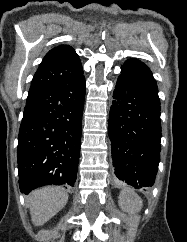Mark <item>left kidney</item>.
I'll return each instance as SVG.
<instances>
[{
    "mask_svg": "<svg viewBox=\"0 0 187 242\" xmlns=\"http://www.w3.org/2000/svg\"><path fill=\"white\" fill-rule=\"evenodd\" d=\"M118 203L121 209L129 213L139 211L142 207L141 198L136 193L129 190H122L120 192Z\"/></svg>",
    "mask_w": 187,
    "mask_h": 242,
    "instance_id": "5707ae66",
    "label": "left kidney"
}]
</instances>
